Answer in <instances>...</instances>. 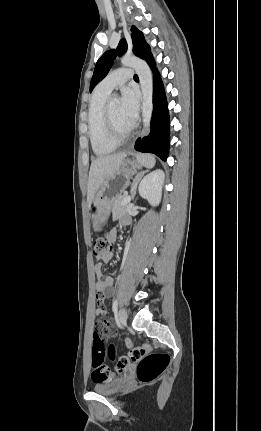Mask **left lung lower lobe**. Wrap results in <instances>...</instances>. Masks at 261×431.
Here are the masks:
<instances>
[{
    "instance_id": "1",
    "label": "left lung lower lobe",
    "mask_w": 261,
    "mask_h": 431,
    "mask_svg": "<svg viewBox=\"0 0 261 431\" xmlns=\"http://www.w3.org/2000/svg\"><path fill=\"white\" fill-rule=\"evenodd\" d=\"M146 62L153 69L154 92H153V116L151 120V132L143 139L138 138L134 148L140 152L154 153L166 161L169 152V115L163 84L158 71L154 68V60L150 55Z\"/></svg>"
}]
</instances>
